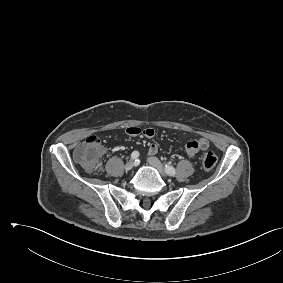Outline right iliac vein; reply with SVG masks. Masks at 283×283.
<instances>
[{"mask_svg": "<svg viewBox=\"0 0 283 283\" xmlns=\"http://www.w3.org/2000/svg\"><path fill=\"white\" fill-rule=\"evenodd\" d=\"M134 167V162L133 161H129L125 164V170L126 171H130L132 168Z\"/></svg>", "mask_w": 283, "mask_h": 283, "instance_id": "obj_1", "label": "right iliac vein"}]
</instances>
